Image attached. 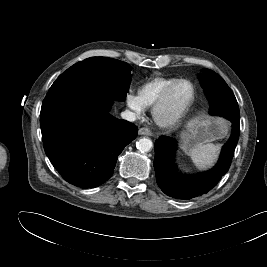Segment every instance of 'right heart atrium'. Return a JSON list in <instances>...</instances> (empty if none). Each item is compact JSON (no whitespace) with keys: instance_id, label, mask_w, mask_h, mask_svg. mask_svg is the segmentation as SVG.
Instances as JSON below:
<instances>
[{"instance_id":"d8ad5b80","label":"right heart atrium","mask_w":267,"mask_h":267,"mask_svg":"<svg viewBox=\"0 0 267 267\" xmlns=\"http://www.w3.org/2000/svg\"><path fill=\"white\" fill-rule=\"evenodd\" d=\"M126 104L130 108V110L134 113L136 116H140L145 111V105L141 101L140 97L132 92H129L126 95Z\"/></svg>"}]
</instances>
